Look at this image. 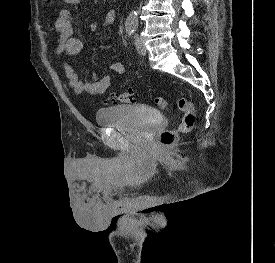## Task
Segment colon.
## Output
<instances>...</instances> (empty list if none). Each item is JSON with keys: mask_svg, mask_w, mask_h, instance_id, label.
I'll use <instances>...</instances> for the list:
<instances>
[{"mask_svg": "<svg viewBox=\"0 0 275 263\" xmlns=\"http://www.w3.org/2000/svg\"><path fill=\"white\" fill-rule=\"evenodd\" d=\"M47 4H51L53 0H43ZM136 93L133 90H128L122 93H112L109 97V101L113 104L119 103H133L136 100ZM155 104L159 108H166L168 103L162 97L155 98ZM176 107L182 112V120L176 129L163 131L158 140L159 146L170 147L173 146L179 137L180 133H188L192 130L196 121V114L192 102L186 98L181 97L176 103Z\"/></svg>", "mask_w": 275, "mask_h": 263, "instance_id": "obj_1", "label": "colon"}]
</instances>
